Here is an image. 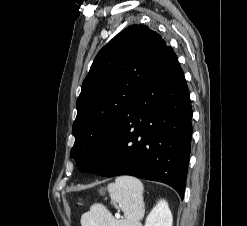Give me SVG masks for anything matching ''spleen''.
Returning a JSON list of instances; mask_svg holds the SVG:
<instances>
[{
    "mask_svg": "<svg viewBox=\"0 0 247 226\" xmlns=\"http://www.w3.org/2000/svg\"><path fill=\"white\" fill-rule=\"evenodd\" d=\"M111 202L124 213V218L115 220L102 205L94 204L90 211L81 217L82 226H141L144 213L143 184L132 176L117 177L115 183L108 185Z\"/></svg>",
    "mask_w": 247,
    "mask_h": 226,
    "instance_id": "1",
    "label": "spleen"
}]
</instances>
